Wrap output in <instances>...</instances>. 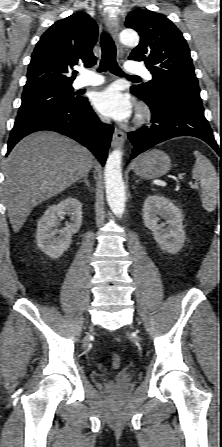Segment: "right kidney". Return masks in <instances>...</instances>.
Returning <instances> with one entry per match:
<instances>
[{"label":"right kidney","mask_w":222,"mask_h":447,"mask_svg":"<svg viewBox=\"0 0 222 447\" xmlns=\"http://www.w3.org/2000/svg\"><path fill=\"white\" fill-rule=\"evenodd\" d=\"M65 215L70 216V222L62 230L55 229L59 220ZM81 224L82 204L78 199L69 197L50 206L38 221L36 230L38 247L53 259L61 257L70 247L72 235L79 231Z\"/></svg>","instance_id":"1"}]
</instances>
